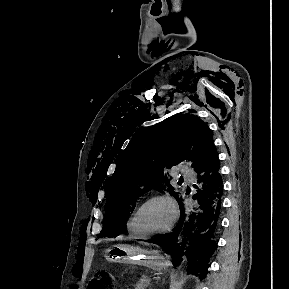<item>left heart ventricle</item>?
Masks as SVG:
<instances>
[{
    "label": "left heart ventricle",
    "instance_id": "obj_1",
    "mask_svg": "<svg viewBox=\"0 0 289 289\" xmlns=\"http://www.w3.org/2000/svg\"><path fill=\"white\" fill-rule=\"evenodd\" d=\"M172 219V209L168 202L155 200L147 204L138 217V225L145 232L162 230Z\"/></svg>",
    "mask_w": 289,
    "mask_h": 289
}]
</instances>
